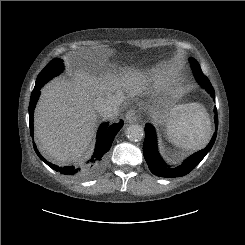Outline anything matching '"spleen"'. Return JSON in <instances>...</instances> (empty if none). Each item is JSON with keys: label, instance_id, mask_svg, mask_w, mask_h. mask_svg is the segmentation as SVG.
Listing matches in <instances>:
<instances>
[{"label": "spleen", "instance_id": "spleen-1", "mask_svg": "<svg viewBox=\"0 0 245 245\" xmlns=\"http://www.w3.org/2000/svg\"><path fill=\"white\" fill-rule=\"evenodd\" d=\"M167 136L173 144L183 149L204 148L212 136L206 109L198 103L184 105L179 117L167 123Z\"/></svg>", "mask_w": 245, "mask_h": 245}]
</instances>
